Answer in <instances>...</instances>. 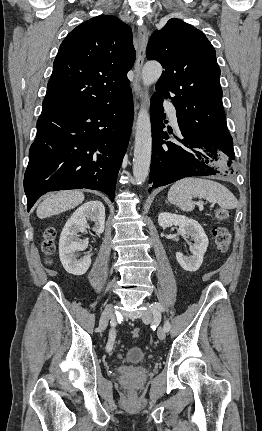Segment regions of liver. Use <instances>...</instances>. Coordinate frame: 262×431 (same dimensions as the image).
Returning a JSON list of instances; mask_svg holds the SVG:
<instances>
[{"label": "liver", "mask_w": 262, "mask_h": 431, "mask_svg": "<svg viewBox=\"0 0 262 431\" xmlns=\"http://www.w3.org/2000/svg\"><path fill=\"white\" fill-rule=\"evenodd\" d=\"M84 200V194L77 190L61 191L51 194L37 207V217L39 219L48 218L73 209Z\"/></svg>", "instance_id": "1"}]
</instances>
